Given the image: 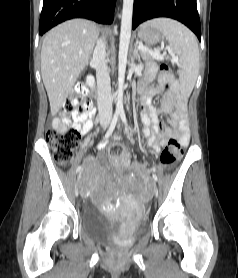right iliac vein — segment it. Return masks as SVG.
Returning <instances> with one entry per match:
<instances>
[{"mask_svg": "<svg viewBox=\"0 0 238 278\" xmlns=\"http://www.w3.org/2000/svg\"><path fill=\"white\" fill-rule=\"evenodd\" d=\"M74 195H78V186H73Z\"/></svg>", "mask_w": 238, "mask_h": 278, "instance_id": "63e3f726", "label": "right iliac vein"}]
</instances>
